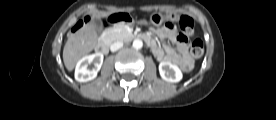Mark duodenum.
Segmentation results:
<instances>
[{
  "label": "duodenum",
  "mask_w": 276,
  "mask_h": 120,
  "mask_svg": "<svg viewBox=\"0 0 276 120\" xmlns=\"http://www.w3.org/2000/svg\"><path fill=\"white\" fill-rule=\"evenodd\" d=\"M133 20H132V18H130V17H126V16H117V17H115V18H113V19H110V20H106V21H104V26H113V25H115V24H117V23H120V24H122V25H124V24H127V25H132V22ZM138 38H140V39H142V40H144L147 44H149V37L148 36H146L145 34H140V35H138L137 36ZM96 49H97V51L99 52V53H101V54H107L108 53V51H109V44L107 43V42H105V41H100L98 44H97V46H96Z\"/></svg>",
  "instance_id": "410a0bca"
}]
</instances>
